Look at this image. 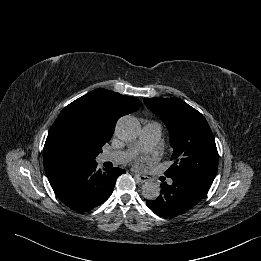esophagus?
Listing matches in <instances>:
<instances>
[{
    "label": "esophagus",
    "mask_w": 261,
    "mask_h": 261,
    "mask_svg": "<svg viewBox=\"0 0 261 261\" xmlns=\"http://www.w3.org/2000/svg\"><path fill=\"white\" fill-rule=\"evenodd\" d=\"M135 177L137 178V180L141 183H145L148 182L150 180V178L146 175H142V174H135Z\"/></svg>",
    "instance_id": "34e87169"
}]
</instances>
